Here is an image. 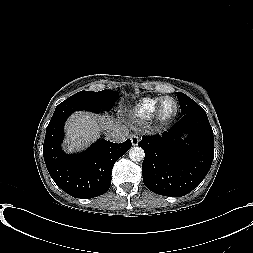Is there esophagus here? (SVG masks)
Segmentation results:
<instances>
[{
  "mask_svg": "<svg viewBox=\"0 0 253 253\" xmlns=\"http://www.w3.org/2000/svg\"><path fill=\"white\" fill-rule=\"evenodd\" d=\"M130 140L133 146H136L139 143V137L135 134L130 136Z\"/></svg>",
  "mask_w": 253,
  "mask_h": 253,
  "instance_id": "34e87169",
  "label": "esophagus"
}]
</instances>
